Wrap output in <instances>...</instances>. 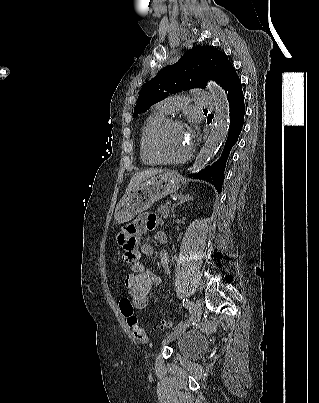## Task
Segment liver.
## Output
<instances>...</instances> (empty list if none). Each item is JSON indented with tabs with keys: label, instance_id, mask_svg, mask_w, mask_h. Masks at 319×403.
Instances as JSON below:
<instances>
[{
	"label": "liver",
	"instance_id": "liver-1",
	"mask_svg": "<svg viewBox=\"0 0 319 403\" xmlns=\"http://www.w3.org/2000/svg\"><path fill=\"white\" fill-rule=\"evenodd\" d=\"M162 172H163V170H161V169H149V170H144V171L135 173L132 176V178L126 188L125 195H127L134 187H136L141 182H143V181L147 180L148 178L153 177L159 173H162Z\"/></svg>",
	"mask_w": 319,
	"mask_h": 403
}]
</instances>
